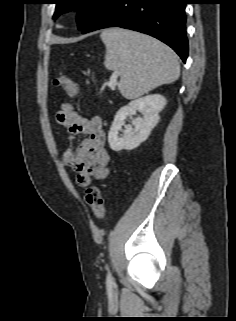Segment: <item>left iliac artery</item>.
<instances>
[{
	"instance_id": "1",
	"label": "left iliac artery",
	"mask_w": 236,
	"mask_h": 321,
	"mask_svg": "<svg viewBox=\"0 0 236 321\" xmlns=\"http://www.w3.org/2000/svg\"><path fill=\"white\" fill-rule=\"evenodd\" d=\"M106 283H107V286H112L113 285V279H112V276H111V273H110L109 270H108V273H107Z\"/></svg>"
}]
</instances>
